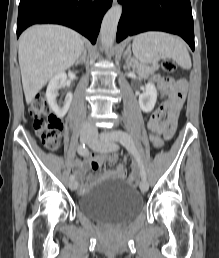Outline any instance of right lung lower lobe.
<instances>
[{
	"instance_id": "98d812e1",
	"label": "right lung lower lobe",
	"mask_w": 219,
	"mask_h": 258,
	"mask_svg": "<svg viewBox=\"0 0 219 258\" xmlns=\"http://www.w3.org/2000/svg\"><path fill=\"white\" fill-rule=\"evenodd\" d=\"M111 5L112 0H20L17 37L33 24L55 23L78 31L94 44Z\"/></svg>"
}]
</instances>
